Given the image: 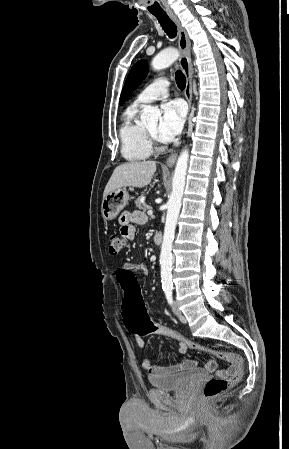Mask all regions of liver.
Wrapping results in <instances>:
<instances>
[{"label": "liver", "mask_w": 289, "mask_h": 449, "mask_svg": "<svg viewBox=\"0 0 289 449\" xmlns=\"http://www.w3.org/2000/svg\"><path fill=\"white\" fill-rule=\"evenodd\" d=\"M156 171V162L154 161H134L119 165L113 171L104 193L103 198L111 191L122 187L147 186Z\"/></svg>", "instance_id": "obj_1"}]
</instances>
